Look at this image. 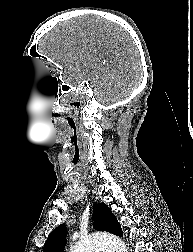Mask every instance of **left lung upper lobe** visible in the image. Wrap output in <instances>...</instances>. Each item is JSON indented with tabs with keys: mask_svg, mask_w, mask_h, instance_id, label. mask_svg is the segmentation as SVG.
<instances>
[{
	"mask_svg": "<svg viewBox=\"0 0 193 252\" xmlns=\"http://www.w3.org/2000/svg\"><path fill=\"white\" fill-rule=\"evenodd\" d=\"M94 228L99 231H107L117 236L123 232L116 217L111 213L110 208L104 204H95L93 209ZM67 231L64 224L56 227L48 236L43 247V252H63Z\"/></svg>",
	"mask_w": 193,
	"mask_h": 252,
	"instance_id": "1",
	"label": "left lung upper lobe"
}]
</instances>
